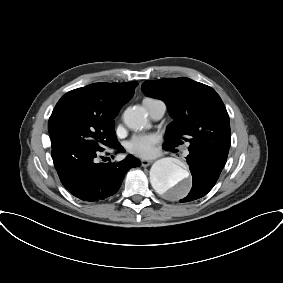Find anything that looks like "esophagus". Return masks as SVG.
Returning <instances> with one entry per match:
<instances>
[{
	"label": "esophagus",
	"instance_id": "1",
	"mask_svg": "<svg viewBox=\"0 0 283 283\" xmlns=\"http://www.w3.org/2000/svg\"><path fill=\"white\" fill-rule=\"evenodd\" d=\"M152 163H153L152 160H141V165L143 167H147V166L151 165Z\"/></svg>",
	"mask_w": 283,
	"mask_h": 283
}]
</instances>
